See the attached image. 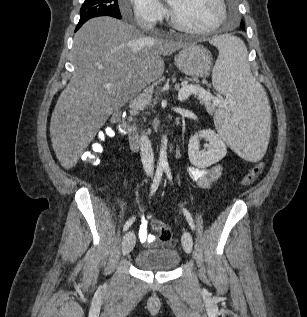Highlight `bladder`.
I'll list each match as a JSON object with an SVG mask.
<instances>
[{
  "mask_svg": "<svg viewBox=\"0 0 307 317\" xmlns=\"http://www.w3.org/2000/svg\"><path fill=\"white\" fill-rule=\"evenodd\" d=\"M180 263L177 250L171 248H152L139 251L135 256L138 269L154 272H169Z\"/></svg>",
  "mask_w": 307,
  "mask_h": 317,
  "instance_id": "obj_1",
  "label": "bladder"
}]
</instances>
